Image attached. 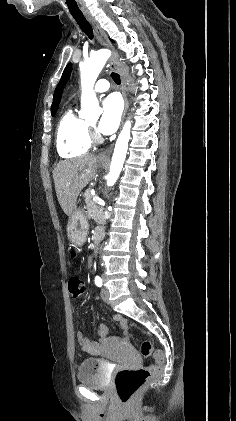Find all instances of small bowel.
Instances as JSON below:
<instances>
[{
  "instance_id": "1",
  "label": "small bowel",
  "mask_w": 236,
  "mask_h": 421,
  "mask_svg": "<svg viewBox=\"0 0 236 421\" xmlns=\"http://www.w3.org/2000/svg\"><path fill=\"white\" fill-rule=\"evenodd\" d=\"M100 332H106L107 333V328L105 326H101L100 327Z\"/></svg>"
}]
</instances>
